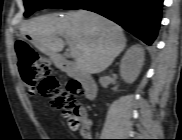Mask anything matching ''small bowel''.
<instances>
[{
    "label": "small bowel",
    "mask_w": 182,
    "mask_h": 140,
    "mask_svg": "<svg viewBox=\"0 0 182 140\" xmlns=\"http://www.w3.org/2000/svg\"><path fill=\"white\" fill-rule=\"evenodd\" d=\"M80 135L82 136V138H85V139H81V140H89V139H86V138L90 137V129H89V127L88 126L81 127Z\"/></svg>",
    "instance_id": "c3829d8e"
}]
</instances>
